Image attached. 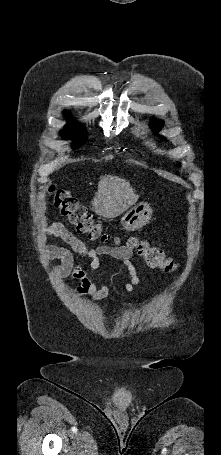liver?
I'll return each instance as SVG.
<instances>
[{"label": "liver", "mask_w": 221, "mask_h": 455, "mask_svg": "<svg viewBox=\"0 0 221 455\" xmlns=\"http://www.w3.org/2000/svg\"><path fill=\"white\" fill-rule=\"evenodd\" d=\"M138 198L128 181L105 175L100 178L92 206L94 212L103 218H115L133 206Z\"/></svg>", "instance_id": "obj_1"}]
</instances>
